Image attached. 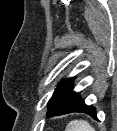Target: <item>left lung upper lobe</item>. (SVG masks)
Wrapping results in <instances>:
<instances>
[{
    "instance_id": "obj_1",
    "label": "left lung upper lobe",
    "mask_w": 117,
    "mask_h": 131,
    "mask_svg": "<svg viewBox=\"0 0 117 131\" xmlns=\"http://www.w3.org/2000/svg\"><path fill=\"white\" fill-rule=\"evenodd\" d=\"M73 79H64L59 84L49 101L48 116L61 115L68 106L74 102L75 95L72 92Z\"/></svg>"
}]
</instances>
